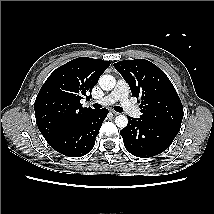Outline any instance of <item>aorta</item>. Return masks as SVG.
<instances>
[{"label":"aorta","mask_w":214,"mask_h":214,"mask_svg":"<svg viewBox=\"0 0 214 214\" xmlns=\"http://www.w3.org/2000/svg\"><path fill=\"white\" fill-rule=\"evenodd\" d=\"M99 85L105 91L112 90L116 85V80L112 75L105 74L99 78ZM115 124L119 128H125L128 124V118L125 115H118L115 118Z\"/></svg>","instance_id":"aorta-1"}]
</instances>
